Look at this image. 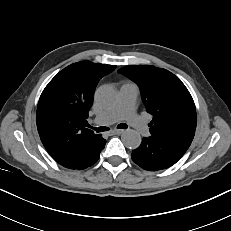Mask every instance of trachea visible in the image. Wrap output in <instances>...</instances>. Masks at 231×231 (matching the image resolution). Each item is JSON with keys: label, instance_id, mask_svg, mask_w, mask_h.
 <instances>
[{"label": "trachea", "instance_id": "3493384b", "mask_svg": "<svg viewBox=\"0 0 231 231\" xmlns=\"http://www.w3.org/2000/svg\"><path fill=\"white\" fill-rule=\"evenodd\" d=\"M88 127L92 128L93 130H95L96 132H104V131H108L109 128L108 127H98V128H95V127H91L89 125H87ZM128 126L127 124L125 123H121L117 126L118 129H126Z\"/></svg>", "mask_w": 231, "mask_h": 231}]
</instances>
